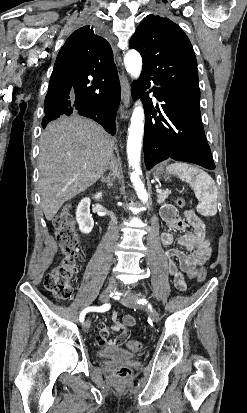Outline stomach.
<instances>
[{"label": "stomach", "mask_w": 247, "mask_h": 413, "mask_svg": "<svg viewBox=\"0 0 247 413\" xmlns=\"http://www.w3.org/2000/svg\"><path fill=\"white\" fill-rule=\"evenodd\" d=\"M159 170H163V168H159ZM154 174H163V172H154ZM166 178H169V174H176V172H174V170H169V168H167L166 172H164Z\"/></svg>", "instance_id": "0dacf381"}]
</instances>
